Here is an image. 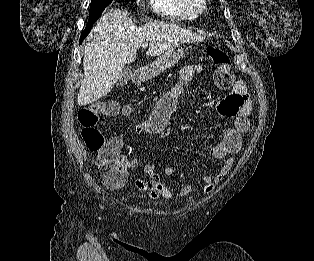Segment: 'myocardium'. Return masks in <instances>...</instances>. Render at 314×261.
Instances as JSON below:
<instances>
[{
    "mask_svg": "<svg viewBox=\"0 0 314 261\" xmlns=\"http://www.w3.org/2000/svg\"><path fill=\"white\" fill-rule=\"evenodd\" d=\"M188 7L196 14H202L207 10V0H186Z\"/></svg>",
    "mask_w": 314,
    "mask_h": 261,
    "instance_id": "f54148a6",
    "label": "myocardium"
}]
</instances>
